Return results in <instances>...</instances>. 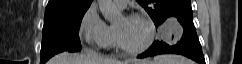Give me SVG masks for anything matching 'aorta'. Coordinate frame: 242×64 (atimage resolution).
Masks as SVG:
<instances>
[{"label": "aorta", "mask_w": 242, "mask_h": 64, "mask_svg": "<svg viewBox=\"0 0 242 64\" xmlns=\"http://www.w3.org/2000/svg\"><path fill=\"white\" fill-rule=\"evenodd\" d=\"M97 2L101 13L106 20L112 22L120 18L121 12L112 0H97Z\"/></svg>", "instance_id": "aorta-1"}]
</instances>
